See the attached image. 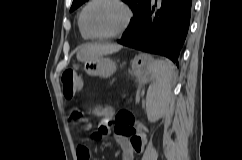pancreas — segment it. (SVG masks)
<instances>
[{"instance_id": "1", "label": "pancreas", "mask_w": 242, "mask_h": 160, "mask_svg": "<svg viewBox=\"0 0 242 160\" xmlns=\"http://www.w3.org/2000/svg\"><path fill=\"white\" fill-rule=\"evenodd\" d=\"M137 98H139V93H137Z\"/></svg>"}]
</instances>
